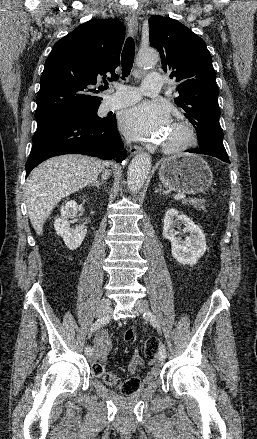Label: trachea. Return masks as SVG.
I'll return each instance as SVG.
<instances>
[{
    "mask_svg": "<svg viewBox=\"0 0 257 439\" xmlns=\"http://www.w3.org/2000/svg\"><path fill=\"white\" fill-rule=\"evenodd\" d=\"M135 56V43L132 37H128L122 51V79L127 77L132 69ZM103 89H108V85H104Z\"/></svg>",
    "mask_w": 257,
    "mask_h": 439,
    "instance_id": "3493384b",
    "label": "trachea"
}]
</instances>
